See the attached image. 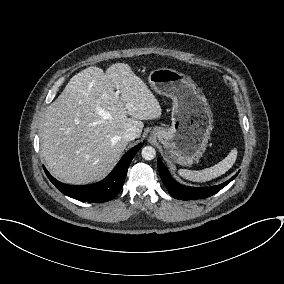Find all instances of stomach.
I'll list each match as a JSON object with an SVG mask.
<instances>
[{"label":"stomach","instance_id":"1","mask_svg":"<svg viewBox=\"0 0 284 284\" xmlns=\"http://www.w3.org/2000/svg\"><path fill=\"white\" fill-rule=\"evenodd\" d=\"M148 81L155 92L171 98L173 104L171 127H154L151 136L163 144L169 160L192 165L205 152L213 129L205 95L189 76L173 69L153 70Z\"/></svg>","mask_w":284,"mask_h":284}]
</instances>
